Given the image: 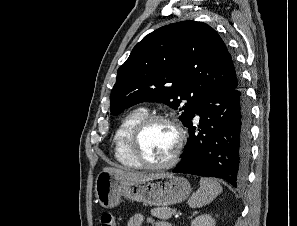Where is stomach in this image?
Wrapping results in <instances>:
<instances>
[{
    "instance_id": "obj_1",
    "label": "stomach",
    "mask_w": 297,
    "mask_h": 226,
    "mask_svg": "<svg viewBox=\"0 0 297 226\" xmlns=\"http://www.w3.org/2000/svg\"><path fill=\"white\" fill-rule=\"evenodd\" d=\"M190 193L188 180L169 173L142 180H126L102 171L95 181V195L104 208L117 206L122 197L147 205L167 206L184 201Z\"/></svg>"
}]
</instances>
